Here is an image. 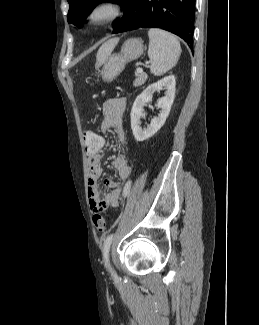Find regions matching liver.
Segmentation results:
<instances>
[{
	"label": "liver",
	"mask_w": 259,
	"mask_h": 325,
	"mask_svg": "<svg viewBox=\"0 0 259 325\" xmlns=\"http://www.w3.org/2000/svg\"><path fill=\"white\" fill-rule=\"evenodd\" d=\"M119 39L118 38H112L109 39L107 42H105L98 50L96 55V64L95 68H99L102 64L105 63V61L110 56L111 52L117 45Z\"/></svg>",
	"instance_id": "liver-1"
}]
</instances>
